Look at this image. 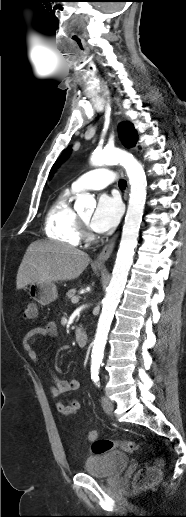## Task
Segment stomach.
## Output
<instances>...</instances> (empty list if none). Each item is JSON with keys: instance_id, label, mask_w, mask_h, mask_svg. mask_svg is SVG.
I'll return each instance as SVG.
<instances>
[{"instance_id": "obj_1", "label": "stomach", "mask_w": 186, "mask_h": 517, "mask_svg": "<svg viewBox=\"0 0 186 517\" xmlns=\"http://www.w3.org/2000/svg\"><path fill=\"white\" fill-rule=\"evenodd\" d=\"M97 269L101 270L102 268L97 267ZM28 294L41 305H48L58 298L57 288L53 282L32 283L28 288Z\"/></svg>"}]
</instances>
